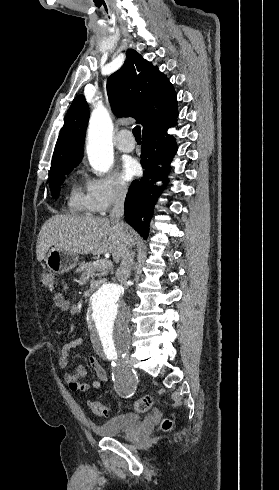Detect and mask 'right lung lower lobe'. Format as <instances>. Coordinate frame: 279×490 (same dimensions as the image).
Returning <instances> with one entry per match:
<instances>
[{"label": "right lung lower lobe", "mask_w": 279, "mask_h": 490, "mask_svg": "<svg viewBox=\"0 0 279 490\" xmlns=\"http://www.w3.org/2000/svg\"><path fill=\"white\" fill-rule=\"evenodd\" d=\"M176 121L153 133L143 135L141 163L144 170L141 180L132 182L125 200V219L144 239L148 236L149 222L161 188L156 181L167 182L168 166L177 150L175 139L167 129ZM161 164L162 168L157 165Z\"/></svg>", "instance_id": "1"}]
</instances>
